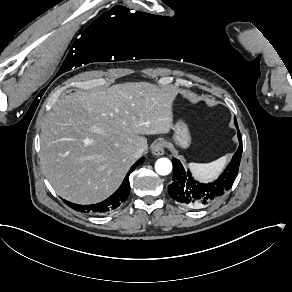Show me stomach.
Returning a JSON list of instances; mask_svg holds the SVG:
<instances>
[{"instance_id": "stomach-1", "label": "stomach", "mask_w": 292, "mask_h": 292, "mask_svg": "<svg viewBox=\"0 0 292 292\" xmlns=\"http://www.w3.org/2000/svg\"><path fill=\"white\" fill-rule=\"evenodd\" d=\"M173 140L178 146L182 148H188L191 143V136L188 126L182 120H179L174 125Z\"/></svg>"}]
</instances>
